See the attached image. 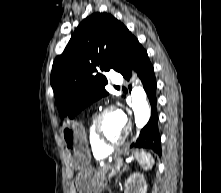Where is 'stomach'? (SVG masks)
I'll use <instances>...</instances> for the list:
<instances>
[{
    "mask_svg": "<svg viewBox=\"0 0 221 193\" xmlns=\"http://www.w3.org/2000/svg\"><path fill=\"white\" fill-rule=\"evenodd\" d=\"M65 141V152H69L71 158L74 159L72 167H76L78 172V182H82L78 186L79 193H92L95 190V183L101 179L98 174L97 167L90 162V150H87V133H85L84 125L75 120H66L62 129Z\"/></svg>",
    "mask_w": 221,
    "mask_h": 193,
    "instance_id": "obj_1",
    "label": "stomach"
}]
</instances>
